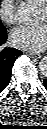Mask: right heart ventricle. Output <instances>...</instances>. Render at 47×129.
I'll list each match as a JSON object with an SVG mask.
<instances>
[{"label":"right heart ventricle","mask_w":47,"mask_h":129,"mask_svg":"<svg viewBox=\"0 0 47 129\" xmlns=\"http://www.w3.org/2000/svg\"><path fill=\"white\" fill-rule=\"evenodd\" d=\"M34 1H40V2H44V1H46V0H34Z\"/></svg>","instance_id":"obj_1"}]
</instances>
